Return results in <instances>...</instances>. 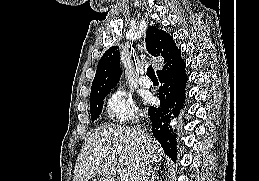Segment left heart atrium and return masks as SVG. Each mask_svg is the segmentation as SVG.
<instances>
[{
	"label": "left heart atrium",
	"mask_w": 259,
	"mask_h": 181,
	"mask_svg": "<svg viewBox=\"0 0 259 181\" xmlns=\"http://www.w3.org/2000/svg\"><path fill=\"white\" fill-rule=\"evenodd\" d=\"M148 102H150L151 101V97H147V99H146Z\"/></svg>",
	"instance_id": "1"
}]
</instances>
